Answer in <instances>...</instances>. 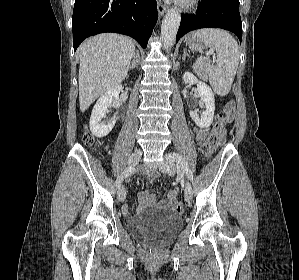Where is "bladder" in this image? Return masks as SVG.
<instances>
[{
  "instance_id": "1",
  "label": "bladder",
  "mask_w": 299,
  "mask_h": 280,
  "mask_svg": "<svg viewBox=\"0 0 299 280\" xmlns=\"http://www.w3.org/2000/svg\"><path fill=\"white\" fill-rule=\"evenodd\" d=\"M181 218L168 209L144 210L131 218L127 227L138 239L162 245L168 242L178 231Z\"/></svg>"
}]
</instances>
